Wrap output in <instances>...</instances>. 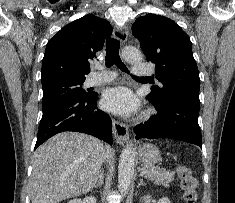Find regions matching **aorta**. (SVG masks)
Returning <instances> with one entry per match:
<instances>
[{"mask_svg": "<svg viewBox=\"0 0 235 203\" xmlns=\"http://www.w3.org/2000/svg\"><path fill=\"white\" fill-rule=\"evenodd\" d=\"M122 57L129 63L142 61L141 52L132 47H126L122 51ZM135 164V152L132 143L126 145L121 153L118 167V188L122 194H126L132 183Z\"/></svg>", "mask_w": 235, "mask_h": 203, "instance_id": "aorta-1", "label": "aorta"}]
</instances>
